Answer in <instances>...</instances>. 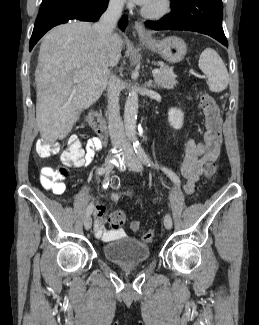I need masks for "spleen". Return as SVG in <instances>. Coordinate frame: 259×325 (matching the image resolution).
<instances>
[{
  "label": "spleen",
  "instance_id": "3e777b00",
  "mask_svg": "<svg viewBox=\"0 0 259 325\" xmlns=\"http://www.w3.org/2000/svg\"><path fill=\"white\" fill-rule=\"evenodd\" d=\"M198 66L208 77L209 89L213 92L225 90L229 84L227 68L219 56L212 48H206L199 56Z\"/></svg>",
  "mask_w": 259,
  "mask_h": 325
}]
</instances>
